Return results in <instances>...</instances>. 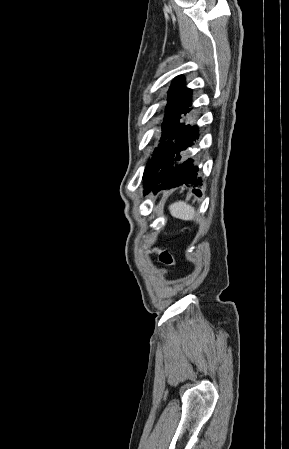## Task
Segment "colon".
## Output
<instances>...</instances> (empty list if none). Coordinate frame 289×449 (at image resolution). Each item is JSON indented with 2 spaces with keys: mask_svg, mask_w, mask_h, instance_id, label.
<instances>
[{
  "mask_svg": "<svg viewBox=\"0 0 289 449\" xmlns=\"http://www.w3.org/2000/svg\"><path fill=\"white\" fill-rule=\"evenodd\" d=\"M157 253L162 264L167 266H173L175 264V259L168 250H157Z\"/></svg>",
  "mask_w": 289,
  "mask_h": 449,
  "instance_id": "colon-1",
  "label": "colon"
}]
</instances>
